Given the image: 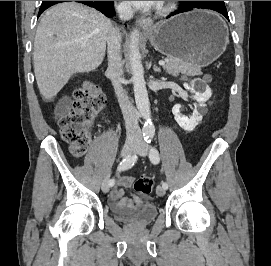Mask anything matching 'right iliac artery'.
<instances>
[{
  "label": "right iliac artery",
  "mask_w": 271,
  "mask_h": 266,
  "mask_svg": "<svg viewBox=\"0 0 271 266\" xmlns=\"http://www.w3.org/2000/svg\"><path fill=\"white\" fill-rule=\"evenodd\" d=\"M137 156L136 155H128L127 157H125L120 164L117 167V171L121 172V171H125L130 169L134 163L136 162ZM115 184V180L112 178L109 180V185L113 186Z\"/></svg>",
  "instance_id": "obj_1"
}]
</instances>
